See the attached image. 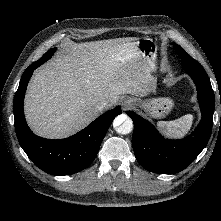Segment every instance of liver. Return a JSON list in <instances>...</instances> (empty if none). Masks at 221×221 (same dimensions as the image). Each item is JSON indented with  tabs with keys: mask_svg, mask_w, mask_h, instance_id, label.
<instances>
[{
	"mask_svg": "<svg viewBox=\"0 0 221 221\" xmlns=\"http://www.w3.org/2000/svg\"><path fill=\"white\" fill-rule=\"evenodd\" d=\"M135 40L75 44L36 70L24 103L31 129L43 137L64 138L99 115V100H107L110 108L119 95L146 96L153 66L142 58Z\"/></svg>",
	"mask_w": 221,
	"mask_h": 221,
	"instance_id": "1",
	"label": "liver"
}]
</instances>
